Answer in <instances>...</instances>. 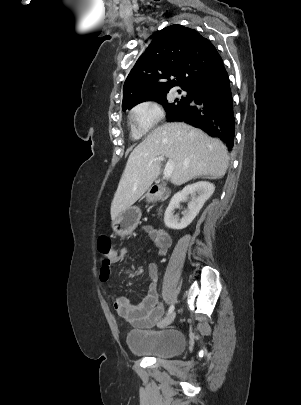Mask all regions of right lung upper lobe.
Here are the masks:
<instances>
[{"label":"right lung upper lobe","mask_w":301,"mask_h":405,"mask_svg":"<svg viewBox=\"0 0 301 405\" xmlns=\"http://www.w3.org/2000/svg\"><path fill=\"white\" fill-rule=\"evenodd\" d=\"M224 71L214 45L196 30L179 24L165 27L155 33L127 76L122 109H131L177 85L193 91L215 81Z\"/></svg>","instance_id":"cb5924a9"}]
</instances>
